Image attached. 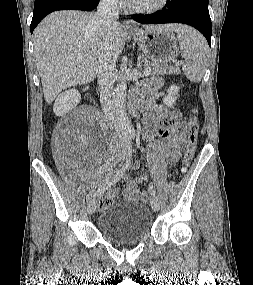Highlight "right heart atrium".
<instances>
[{
	"instance_id": "obj_1",
	"label": "right heart atrium",
	"mask_w": 253,
	"mask_h": 285,
	"mask_svg": "<svg viewBox=\"0 0 253 285\" xmlns=\"http://www.w3.org/2000/svg\"><path fill=\"white\" fill-rule=\"evenodd\" d=\"M104 2L112 7H119L123 4V0H104Z\"/></svg>"
}]
</instances>
